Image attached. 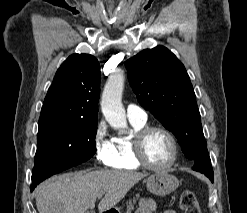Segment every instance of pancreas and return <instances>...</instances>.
I'll use <instances>...</instances> for the list:
<instances>
[{"label": "pancreas", "instance_id": "1", "mask_svg": "<svg viewBox=\"0 0 247 213\" xmlns=\"http://www.w3.org/2000/svg\"><path fill=\"white\" fill-rule=\"evenodd\" d=\"M138 199H139V197H136V198H133V200H129V201L127 202V206H126L127 211H126V213H131L132 210H134V204L136 203V201H137Z\"/></svg>", "mask_w": 247, "mask_h": 213}]
</instances>
